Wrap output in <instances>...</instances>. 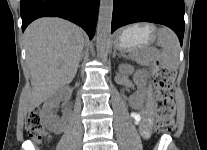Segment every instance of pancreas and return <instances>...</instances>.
<instances>
[{"instance_id": "1", "label": "pancreas", "mask_w": 207, "mask_h": 150, "mask_svg": "<svg viewBox=\"0 0 207 150\" xmlns=\"http://www.w3.org/2000/svg\"><path fill=\"white\" fill-rule=\"evenodd\" d=\"M134 57L139 64L148 65L154 59V54L150 50H145L136 52Z\"/></svg>"}]
</instances>
